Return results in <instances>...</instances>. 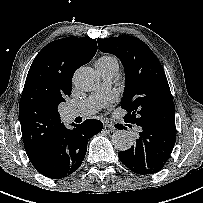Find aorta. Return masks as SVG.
I'll use <instances>...</instances> for the list:
<instances>
[{
  "mask_svg": "<svg viewBox=\"0 0 203 203\" xmlns=\"http://www.w3.org/2000/svg\"><path fill=\"white\" fill-rule=\"evenodd\" d=\"M99 79L94 69L90 67L79 68L73 76L74 86L84 92L92 91L98 85ZM113 146L120 150L126 151L133 145V137L126 130H117L112 135Z\"/></svg>",
  "mask_w": 203,
  "mask_h": 203,
  "instance_id": "762f6f07",
  "label": "aorta"
}]
</instances>
